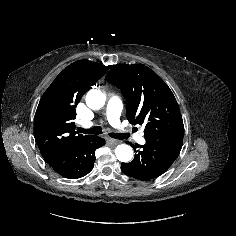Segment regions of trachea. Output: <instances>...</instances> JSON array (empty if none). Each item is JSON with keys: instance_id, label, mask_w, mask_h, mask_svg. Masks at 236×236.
Returning a JSON list of instances; mask_svg holds the SVG:
<instances>
[{"instance_id": "1", "label": "trachea", "mask_w": 236, "mask_h": 236, "mask_svg": "<svg viewBox=\"0 0 236 236\" xmlns=\"http://www.w3.org/2000/svg\"><path fill=\"white\" fill-rule=\"evenodd\" d=\"M78 130L80 133H84V134H94V135L102 134V127L100 126H95L90 129L79 128ZM109 136L115 139H119V140L129 138L127 134H123V133H109Z\"/></svg>"}]
</instances>
